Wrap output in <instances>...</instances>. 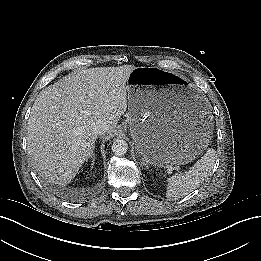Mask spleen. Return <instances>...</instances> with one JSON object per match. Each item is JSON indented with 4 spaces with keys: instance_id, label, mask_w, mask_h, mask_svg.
Returning <instances> with one entry per match:
<instances>
[{
    "instance_id": "obj_1",
    "label": "spleen",
    "mask_w": 261,
    "mask_h": 261,
    "mask_svg": "<svg viewBox=\"0 0 261 261\" xmlns=\"http://www.w3.org/2000/svg\"><path fill=\"white\" fill-rule=\"evenodd\" d=\"M215 155L216 151L210 148L190 170L168 178L166 197L178 199L198 188L211 173L216 159Z\"/></svg>"
}]
</instances>
